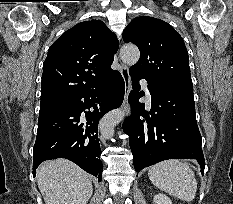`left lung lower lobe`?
Instances as JSON below:
<instances>
[{"label": "left lung lower lobe", "instance_id": "obj_1", "mask_svg": "<svg viewBox=\"0 0 233 204\" xmlns=\"http://www.w3.org/2000/svg\"><path fill=\"white\" fill-rule=\"evenodd\" d=\"M133 90L128 102L132 114L123 123L129 135L134 167L137 172L166 159H196L203 174L205 161L201 149V135L196 122L193 92L155 86L151 94V111L138 100L145 94L140 91L141 76L130 73Z\"/></svg>", "mask_w": 233, "mask_h": 204}]
</instances>
